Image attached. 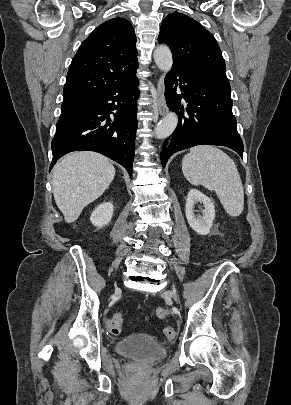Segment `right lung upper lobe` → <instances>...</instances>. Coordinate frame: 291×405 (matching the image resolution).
I'll use <instances>...</instances> for the list:
<instances>
[{
    "instance_id": "right-lung-upper-lobe-1",
    "label": "right lung upper lobe",
    "mask_w": 291,
    "mask_h": 405,
    "mask_svg": "<svg viewBox=\"0 0 291 405\" xmlns=\"http://www.w3.org/2000/svg\"><path fill=\"white\" fill-rule=\"evenodd\" d=\"M131 23L113 18L99 25L74 56L63 90V103H84L111 85L132 77L138 68Z\"/></svg>"
}]
</instances>
